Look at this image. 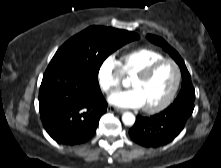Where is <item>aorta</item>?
<instances>
[{
    "instance_id": "obj_1",
    "label": "aorta",
    "mask_w": 221,
    "mask_h": 168,
    "mask_svg": "<svg viewBox=\"0 0 221 168\" xmlns=\"http://www.w3.org/2000/svg\"><path fill=\"white\" fill-rule=\"evenodd\" d=\"M122 122L126 126H132L135 123V116L131 112H125L122 115Z\"/></svg>"
}]
</instances>
